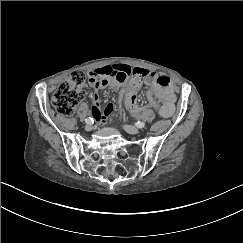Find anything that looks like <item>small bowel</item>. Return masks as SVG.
Returning <instances> with one entry per match:
<instances>
[{
    "instance_id": "c3829d8e",
    "label": "small bowel",
    "mask_w": 243,
    "mask_h": 243,
    "mask_svg": "<svg viewBox=\"0 0 243 243\" xmlns=\"http://www.w3.org/2000/svg\"><path fill=\"white\" fill-rule=\"evenodd\" d=\"M136 71L144 73V81L150 87L147 95L151 107L157 110L162 117H171L174 113L176 96L170 78L163 73L141 68L132 69L125 64H115L90 71L88 81L95 89L106 86L117 89ZM92 101L91 112L97 121L104 122L108 116L113 114L115 110L113 104L109 103L101 109L96 94H93Z\"/></svg>"
}]
</instances>
